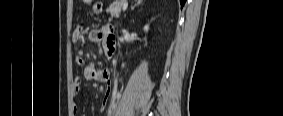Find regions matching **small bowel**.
I'll return each mask as SVG.
<instances>
[{
  "instance_id": "small-bowel-1",
  "label": "small bowel",
  "mask_w": 283,
  "mask_h": 116,
  "mask_svg": "<svg viewBox=\"0 0 283 116\" xmlns=\"http://www.w3.org/2000/svg\"><path fill=\"white\" fill-rule=\"evenodd\" d=\"M93 11L95 13H101L102 3L100 1L94 2ZM82 39V29L76 28L72 33V41L80 42L82 41ZM89 39L93 42L103 43L109 53H112L116 47V40L112 34V28L109 25H105L99 29L91 30L89 32ZM76 63L78 65H84V70L83 74L81 76H77L74 80L73 95L75 97H79L84 94V89L81 86L83 80L105 82L108 87L105 91V95L101 105V111H104L114 94L109 71L105 68H100L95 62H85V59L82 55H78L76 57ZM73 110L74 114L78 113L79 107L77 104L74 105Z\"/></svg>"
}]
</instances>
